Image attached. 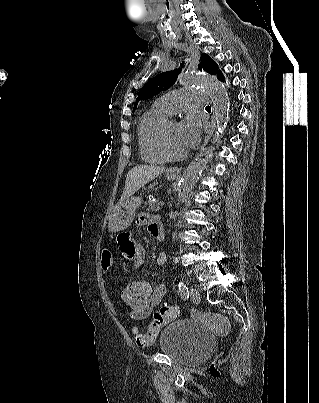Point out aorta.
Listing matches in <instances>:
<instances>
[{
	"label": "aorta",
	"instance_id": "762f6f07",
	"mask_svg": "<svg viewBox=\"0 0 319 403\" xmlns=\"http://www.w3.org/2000/svg\"><path fill=\"white\" fill-rule=\"evenodd\" d=\"M180 83L188 87L199 86L205 89L210 95L215 115L217 133L214 135L215 140H220L221 135L227 127L229 120V97L224 85L214 76L211 75H185L180 78ZM213 148L204 149L187 167L178 188V196H186L193 188L202 170L212 156Z\"/></svg>",
	"mask_w": 319,
	"mask_h": 403
}]
</instances>
